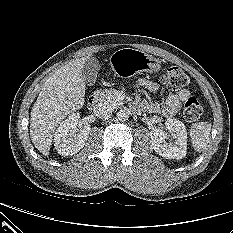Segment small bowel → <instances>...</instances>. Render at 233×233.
Wrapping results in <instances>:
<instances>
[{
	"label": "small bowel",
	"instance_id": "obj_1",
	"mask_svg": "<svg viewBox=\"0 0 233 233\" xmlns=\"http://www.w3.org/2000/svg\"><path fill=\"white\" fill-rule=\"evenodd\" d=\"M138 86L143 87L152 93H156L159 90L158 84L147 80L139 81ZM189 97L190 91L188 89H181L175 93L169 94L161 103L155 102L150 104L148 102L141 101L137 104V108L139 110L162 115L164 117H172L179 111L181 103L186 101Z\"/></svg>",
	"mask_w": 233,
	"mask_h": 233
}]
</instances>
